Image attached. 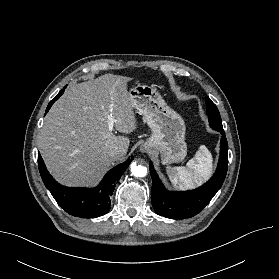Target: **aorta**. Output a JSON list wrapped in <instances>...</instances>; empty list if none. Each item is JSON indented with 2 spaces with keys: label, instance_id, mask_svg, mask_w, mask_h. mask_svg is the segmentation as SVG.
Masks as SVG:
<instances>
[{
  "label": "aorta",
  "instance_id": "1",
  "mask_svg": "<svg viewBox=\"0 0 279 279\" xmlns=\"http://www.w3.org/2000/svg\"><path fill=\"white\" fill-rule=\"evenodd\" d=\"M131 173L136 177H144L147 174V168L142 165H137L136 162L131 164Z\"/></svg>",
  "mask_w": 279,
  "mask_h": 279
}]
</instances>
